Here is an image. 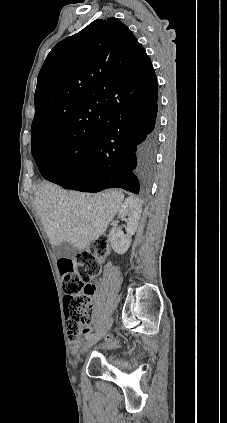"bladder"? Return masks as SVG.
Listing matches in <instances>:
<instances>
[{
	"instance_id": "31cf9c89",
	"label": "bladder",
	"mask_w": 227,
	"mask_h": 423,
	"mask_svg": "<svg viewBox=\"0 0 227 423\" xmlns=\"http://www.w3.org/2000/svg\"><path fill=\"white\" fill-rule=\"evenodd\" d=\"M104 361H105V362H110V361H111V357H110V355H109V354H107V355L105 356Z\"/></svg>"
}]
</instances>
